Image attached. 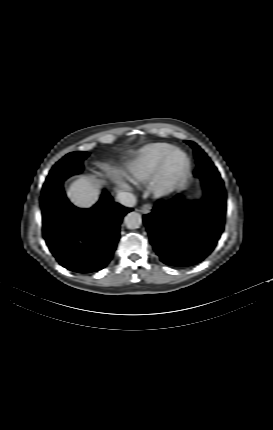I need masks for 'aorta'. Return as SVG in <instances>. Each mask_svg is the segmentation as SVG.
I'll return each instance as SVG.
<instances>
[{
	"label": "aorta",
	"instance_id": "1",
	"mask_svg": "<svg viewBox=\"0 0 273 430\" xmlns=\"http://www.w3.org/2000/svg\"><path fill=\"white\" fill-rule=\"evenodd\" d=\"M124 223L128 229H135L142 224V217L139 213L133 211L127 214Z\"/></svg>",
	"mask_w": 273,
	"mask_h": 430
}]
</instances>
